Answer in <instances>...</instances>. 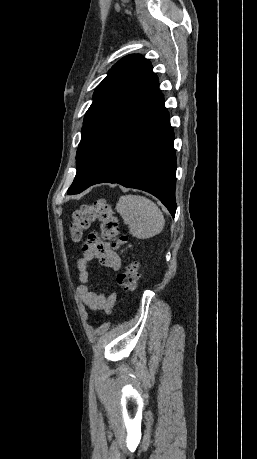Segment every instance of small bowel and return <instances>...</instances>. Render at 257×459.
I'll return each instance as SVG.
<instances>
[{
    "label": "small bowel",
    "instance_id": "small-bowel-1",
    "mask_svg": "<svg viewBox=\"0 0 257 459\" xmlns=\"http://www.w3.org/2000/svg\"><path fill=\"white\" fill-rule=\"evenodd\" d=\"M94 260L114 272L118 271L121 266L120 256L110 244L102 242L95 233L90 234L82 245V257L77 262L81 284L78 286L76 293L83 304L90 310H104L106 313L111 314L116 302V293L113 292L108 295L99 293L91 289L89 285L91 281L89 266Z\"/></svg>",
    "mask_w": 257,
    "mask_h": 459
}]
</instances>
